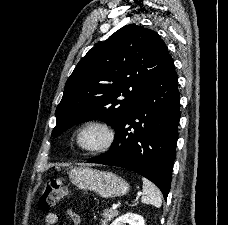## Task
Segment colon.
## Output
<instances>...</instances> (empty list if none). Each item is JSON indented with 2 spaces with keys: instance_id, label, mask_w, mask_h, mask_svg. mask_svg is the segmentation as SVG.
<instances>
[{
  "instance_id": "1",
  "label": "colon",
  "mask_w": 228,
  "mask_h": 225,
  "mask_svg": "<svg viewBox=\"0 0 228 225\" xmlns=\"http://www.w3.org/2000/svg\"><path fill=\"white\" fill-rule=\"evenodd\" d=\"M66 187L62 179L52 178L46 181L45 188L39 197V207L47 209L62 200Z\"/></svg>"
}]
</instances>
